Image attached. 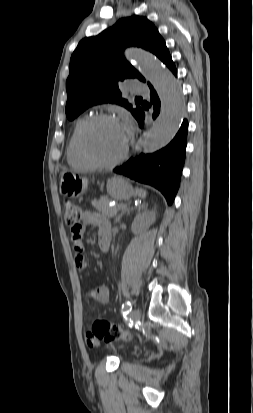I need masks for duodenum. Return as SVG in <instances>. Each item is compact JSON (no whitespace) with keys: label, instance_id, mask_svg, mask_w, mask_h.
<instances>
[{"label":"duodenum","instance_id":"duodenum-1","mask_svg":"<svg viewBox=\"0 0 253 413\" xmlns=\"http://www.w3.org/2000/svg\"><path fill=\"white\" fill-rule=\"evenodd\" d=\"M110 246V236L107 233H103L99 236V247L101 251L107 252Z\"/></svg>","mask_w":253,"mask_h":413}]
</instances>
